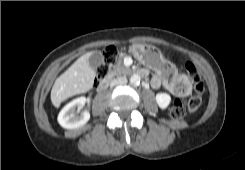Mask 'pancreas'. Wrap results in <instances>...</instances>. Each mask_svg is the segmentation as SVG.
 Segmentation results:
<instances>
[{
    "label": "pancreas",
    "instance_id": "obj_1",
    "mask_svg": "<svg viewBox=\"0 0 245 170\" xmlns=\"http://www.w3.org/2000/svg\"><path fill=\"white\" fill-rule=\"evenodd\" d=\"M126 54H122L119 56L116 64L112 67L110 73L108 74L107 78L112 79L115 76L125 75L127 73V68L123 65V58Z\"/></svg>",
    "mask_w": 245,
    "mask_h": 170
}]
</instances>
